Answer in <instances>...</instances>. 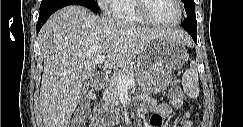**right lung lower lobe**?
<instances>
[{
    "instance_id": "1",
    "label": "right lung lower lobe",
    "mask_w": 243,
    "mask_h": 127,
    "mask_svg": "<svg viewBox=\"0 0 243 127\" xmlns=\"http://www.w3.org/2000/svg\"><path fill=\"white\" fill-rule=\"evenodd\" d=\"M68 5H81L73 0H60L45 6L40 7L39 18L37 22V33L48 20V18L57 10Z\"/></svg>"
}]
</instances>
